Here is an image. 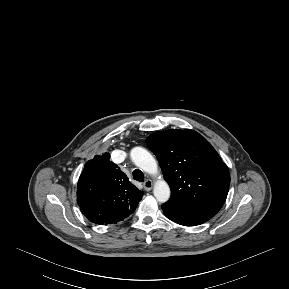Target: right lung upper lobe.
Here are the masks:
<instances>
[{
	"label": "right lung upper lobe",
	"instance_id": "obj_1",
	"mask_svg": "<svg viewBox=\"0 0 289 289\" xmlns=\"http://www.w3.org/2000/svg\"><path fill=\"white\" fill-rule=\"evenodd\" d=\"M109 153L86 162L77 184V203L89 221L117 223L132 214L143 196L109 160Z\"/></svg>",
	"mask_w": 289,
	"mask_h": 289
}]
</instances>
